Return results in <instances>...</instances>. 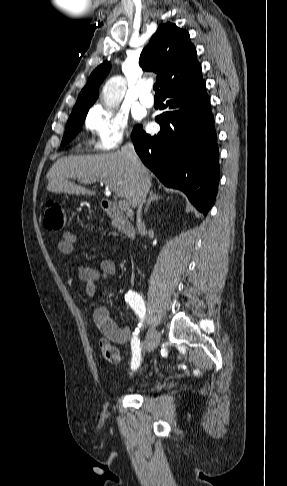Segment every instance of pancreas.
<instances>
[{
  "label": "pancreas",
  "mask_w": 287,
  "mask_h": 486,
  "mask_svg": "<svg viewBox=\"0 0 287 486\" xmlns=\"http://www.w3.org/2000/svg\"><path fill=\"white\" fill-rule=\"evenodd\" d=\"M114 227L118 228V230H121V226L118 223H115Z\"/></svg>",
  "instance_id": "cf45deb5"
}]
</instances>
